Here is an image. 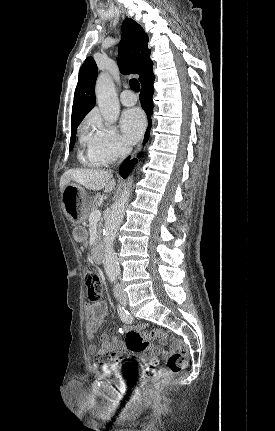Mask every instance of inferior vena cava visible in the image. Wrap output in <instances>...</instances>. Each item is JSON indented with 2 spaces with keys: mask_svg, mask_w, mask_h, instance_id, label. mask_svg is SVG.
<instances>
[{
  "mask_svg": "<svg viewBox=\"0 0 275 431\" xmlns=\"http://www.w3.org/2000/svg\"><path fill=\"white\" fill-rule=\"evenodd\" d=\"M131 152V148L127 147V146H123L121 149V158L123 159L126 155H128ZM119 288V285L115 286V290H117Z\"/></svg>",
  "mask_w": 275,
  "mask_h": 431,
  "instance_id": "602c4592",
  "label": "inferior vena cava"
}]
</instances>
